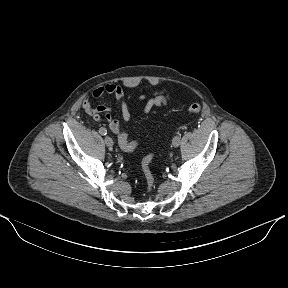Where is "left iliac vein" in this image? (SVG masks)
Returning <instances> with one entry per match:
<instances>
[{
	"mask_svg": "<svg viewBox=\"0 0 288 288\" xmlns=\"http://www.w3.org/2000/svg\"><path fill=\"white\" fill-rule=\"evenodd\" d=\"M180 142H181V140H180V138H177L176 136L173 138V140H172V145L174 146V147H178L179 145H180Z\"/></svg>",
	"mask_w": 288,
	"mask_h": 288,
	"instance_id": "left-iliac-vein-1",
	"label": "left iliac vein"
}]
</instances>
